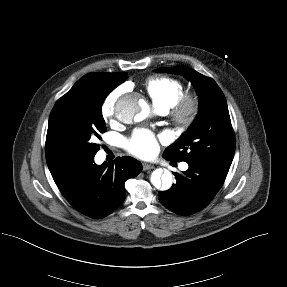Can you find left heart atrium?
<instances>
[{
    "mask_svg": "<svg viewBox=\"0 0 287 287\" xmlns=\"http://www.w3.org/2000/svg\"><path fill=\"white\" fill-rule=\"evenodd\" d=\"M127 151L140 158H150L158 151V141L153 132L147 129H137L126 140Z\"/></svg>",
    "mask_w": 287,
    "mask_h": 287,
    "instance_id": "1",
    "label": "left heart atrium"
}]
</instances>
